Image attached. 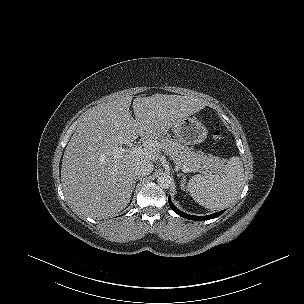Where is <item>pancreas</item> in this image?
<instances>
[{"instance_id": "cf45deb5", "label": "pancreas", "mask_w": 304, "mask_h": 304, "mask_svg": "<svg viewBox=\"0 0 304 304\" xmlns=\"http://www.w3.org/2000/svg\"><path fill=\"white\" fill-rule=\"evenodd\" d=\"M162 144L163 151L181 168L186 166L193 172L213 173L220 172L224 166L225 161L221 158L195 151L175 139L166 137L162 140Z\"/></svg>"}]
</instances>
